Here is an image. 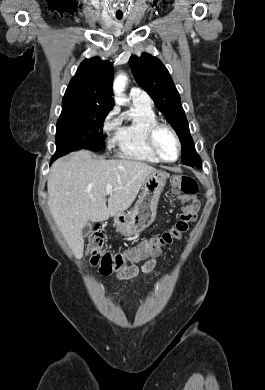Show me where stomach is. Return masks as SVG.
<instances>
[{
	"label": "stomach",
	"instance_id": "obj_1",
	"mask_svg": "<svg viewBox=\"0 0 265 390\" xmlns=\"http://www.w3.org/2000/svg\"><path fill=\"white\" fill-rule=\"evenodd\" d=\"M168 176L166 172L154 171L146 177L141 196L133 210L128 213L120 212L114 217V225L121 234L133 236L154 222L159 198Z\"/></svg>",
	"mask_w": 265,
	"mask_h": 390
}]
</instances>
